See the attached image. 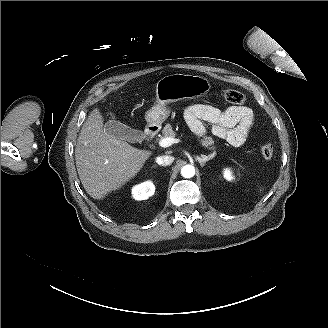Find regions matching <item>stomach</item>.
Masks as SVG:
<instances>
[{"label": "stomach", "mask_w": 328, "mask_h": 328, "mask_svg": "<svg viewBox=\"0 0 328 328\" xmlns=\"http://www.w3.org/2000/svg\"><path fill=\"white\" fill-rule=\"evenodd\" d=\"M211 89L208 79L187 74H172L161 78L156 85V101L145 113L149 130H159L168 118V104L183 99H194L204 96Z\"/></svg>", "instance_id": "1"}]
</instances>
